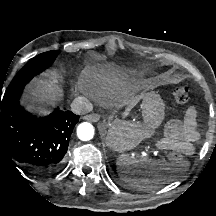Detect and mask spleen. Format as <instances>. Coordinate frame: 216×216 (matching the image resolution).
<instances>
[{
	"label": "spleen",
	"instance_id": "1",
	"mask_svg": "<svg viewBox=\"0 0 216 216\" xmlns=\"http://www.w3.org/2000/svg\"><path fill=\"white\" fill-rule=\"evenodd\" d=\"M120 178L142 190H151L158 185L168 184L177 178L178 164L163 160L138 159L128 154H121L116 160Z\"/></svg>",
	"mask_w": 216,
	"mask_h": 216
}]
</instances>
